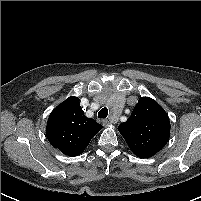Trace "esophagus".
<instances>
[{"mask_svg":"<svg viewBox=\"0 0 201 201\" xmlns=\"http://www.w3.org/2000/svg\"><path fill=\"white\" fill-rule=\"evenodd\" d=\"M102 123H103V125H104L105 127H108V126L111 125V122H110L109 120H107V119L103 120Z\"/></svg>","mask_w":201,"mask_h":201,"instance_id":"34e87169","label":"esophagus"}]
</instances>
